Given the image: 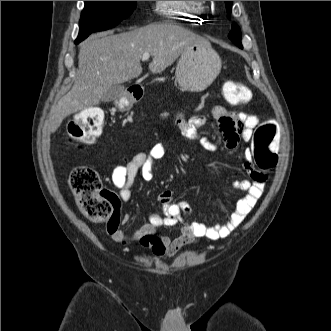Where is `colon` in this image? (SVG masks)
<instances>
[{
    "instance_id": "obj_1",
    "label": "colon",
    "mask_w": 331,
    "mask_h": 331,
    "mask_svg": "<svg viewBox=\"0 0 331 331\" xmlns=\"http://www.w3.org/2000/svg\"><path fill=\"white\" fill-rule=\"evenodd\" d=\"M223 95L232 105H243L250 98L249 89L241 83L227 81ZM104 114L98 108H88L77 114L68 125L70 141L92 143L102 132ZM281 127L277 120L269 119L258 124L253 132L254 158L261 170H270L277 163L276 150L280 142ZM69 184L80 211L95 223H112L118 197L103 188L99 175L90 167L80 166L72 170Z\"/></svg>"
}]
</instances>
